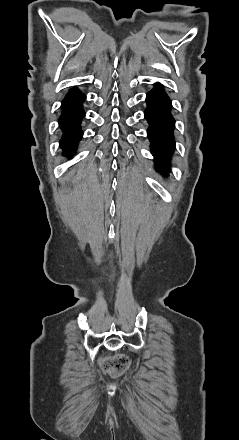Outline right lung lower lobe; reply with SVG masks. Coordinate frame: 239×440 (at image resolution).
Segmentation results:
<instances>
[{"label":"right lung lower lobe","mask_w":239,"mask_h":440,"mask_svg":"<svg viewBox=\"0 0 239 440\" xmlns=\"http://www.w3.org/2000/svg\"><path fill=\"white\" fill-rule=\"evenodd\" d=\"M86 96L74 88L70 90L62 101L61 116L59 117V126L62 130L60 147L63 155L71 157L75 153L79 141L82 138L80 123L85 115L82 107Z\"/></svg>","instance_id":"right-lung-lower-lobe-1"}]
</instances>
